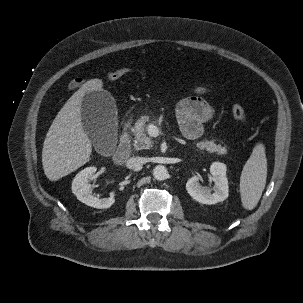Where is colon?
<instances>
[{
    "mask_svg": "<svg viewBox=\"0 0 303 303\" xmlns=\"http://www.w3.org/2000/svg\"><path fill=\"white\" fill-rule=\"evenodd\" d=\"M129 71H130L129 68H119V69H116V70L110 72L106 78L108 81L113 82V81L120 79L124 75H126ZM230 110H231L233 117L238 122H240L242 124H248L249 119L247 117L245 110L242 108L241 105H239L238 103H234L231 105Z\"/></svg>",
    "mask_w": 303,
    "mask_h": 303,
    "instance_id": "1",
    "label": "colon"
}]
</instances>
